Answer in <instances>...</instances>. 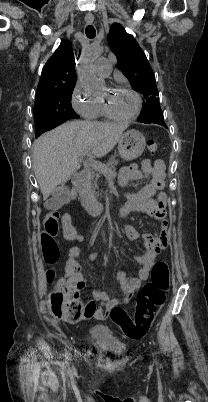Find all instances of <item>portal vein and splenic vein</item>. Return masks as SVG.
Wrapping results in <instances>:
<instances>
[{
  "label": "portal vein and splenic vein",
  "instance_id": "1",
  "mask_svg": "<svg viewBox=\"0 0 208 402\" xmlns=\"http://www.w3.org/2000/svg\"><path fill=\"white\" fill-rule=\"evenodd\" d=\"M89 150H86V152H83L81 156H86L87 160L90 161V166H92L93 170H103L107 169V167H113L114 166V161L110 160L109 162H95V160H92V157L89 156L88 154Z\"/></svg>",
  "mask_w": 208,
  "mask_h": 402
}]
</instances>
